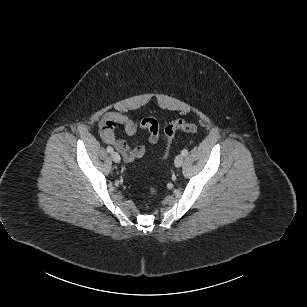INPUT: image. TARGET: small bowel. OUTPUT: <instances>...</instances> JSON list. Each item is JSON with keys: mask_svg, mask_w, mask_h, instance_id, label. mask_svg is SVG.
Wrapping results in <instances>:
<instances>
[{"mask_svg": "<svg viewBox=\"0 0 307 307\" xmlns=\"http://www.w3.org/2000/svg\"><path fill=\"white\" fill-rule=\"evenodd\" d=\"M118 126H122L129 136L135 135L139 129L147 131L149 133L148 140L151 144L157 143L159 139V125L155 119L144 118L137 123L124 113L107 112L99 122V134L106 144L114 146L121 153L126 162L142 158L146 148L143 145L130 147L125 140L118 139L114 133Z\"/></svg>", "mask_w": 307, "mask_h": 307, "instance_id": "small-bowel-1", "label": "small bowel"}]
</instances>
